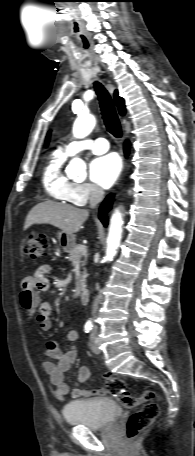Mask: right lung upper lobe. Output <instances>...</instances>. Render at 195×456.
<instances>
[{
    "instance_id": "right-lung-upper-lobe-1",
    "label": "right lung upper lobe",
    "mask_w": 195,
    "mask_h": 456,
    "mask_svg": "<svg viewBox=\"0 0 195 456\" xmlns=\"http://www.w3.org/2000/svg\"><path fill=\"white\" fill-rule=\"evenodd\" d=\"M114 98H115V102H116V105L118 107L119 113L121 115H124L125 114V104H124L123 98L118 96V92L117 91H115V93H114ZM48 140H49V134L47 136V142H48Z\"/></svg>"
}]
</instances>
